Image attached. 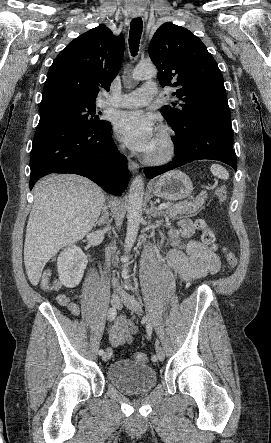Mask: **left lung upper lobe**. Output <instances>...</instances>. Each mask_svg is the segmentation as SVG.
<instances>
[{
	"instance_id": "left-lung-upper-lobe-1",
	"label": "left lung upper lobe",
	"mask_w": 271,
	"mask_h": 443,
	"mask_svg": "<svg viewBox=\"0 0 271 443\" xmlns=\"http://www.w3.org/2000/svg\"><path fill=\"white\" fill-rule=\"evenodd\" d=\"M149 55L158 68L160 84L176 87L173 95L183 102L176 108H161L172 129L191 122L200 112L230 118L221 71L206 46L192 32L171 22L164 23L151 40Z\"/></svg>"
}]
</instances>
